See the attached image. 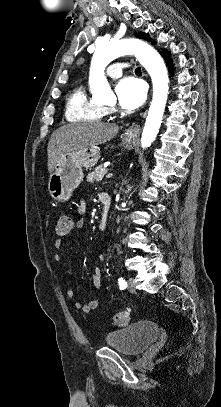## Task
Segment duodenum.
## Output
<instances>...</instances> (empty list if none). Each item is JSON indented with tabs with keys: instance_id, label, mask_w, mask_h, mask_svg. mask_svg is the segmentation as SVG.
<instances>
[{
	"instance_id": "410a0bca",
	"label": "duodenum",
	"mask_w": 221,
	"mask_h": 407,
	"mask_svg": "<svg viewBox=\"0 0 221 407\" xmlns=\"http://www.w3.org/2000/svg\"><path fill=\"white\" fill-rule=\"evenodd\" d=\"M102 214L100 216V219L98 221V229L100 231H104L106 226H107V222H108V217H109V210H110V205H111V197L108 193H105L104 196L102 197Z\"/></svg>"
}]
</instances>
